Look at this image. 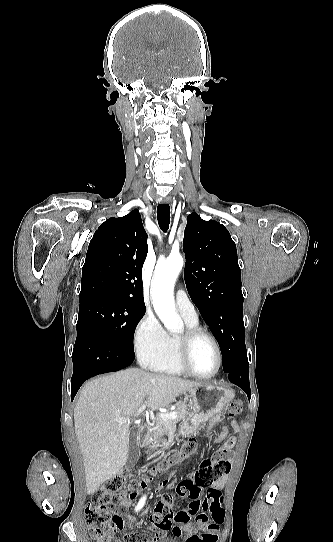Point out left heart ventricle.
Masks as SVG:
<instances>
[{
	"label": "left heart ventricle",
	"instance_id": "b2bd125f",
	"mask_svg": "<svg viewBox=\"0 0 333 542\" xmlns=\"http://www.w3.org/2000/svg\"><path fill=\"white\" fill-rule=\"evenodd\" d=\"M190 366L201 375L213 373L217 366V354L212 343L206 338L195 341L190 352Z\"/></svg>",
	"mask_w": 333,
	"mask_h": 542
}]
</instances>
